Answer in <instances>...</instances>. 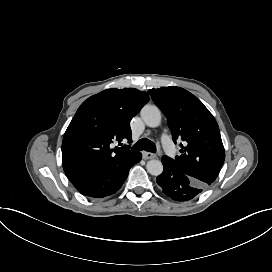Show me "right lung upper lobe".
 <instances>
[{
  "mask_svg": "<svg viewBox=\"0 0 272 272\" xmlns=\"http://www.w3.org/2000/svg\"><path fill=\"white\" fill-rule=\"evenodd\" d=\"M149 101L134 88L107 89L85 100L62 141L63 169L71 182L106 170L135 152L111 143L131 140L130 120Z\"/></svg>",
  "mask_w": 272,
  "mask_h": 272,
  "instance_id": "right-lung-upper-lobe-1",
  "label": "right lung upper lobe"
}]
</instances>
